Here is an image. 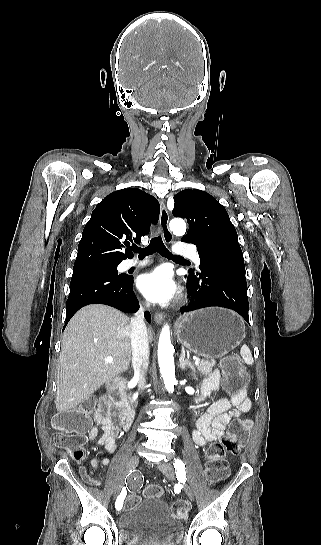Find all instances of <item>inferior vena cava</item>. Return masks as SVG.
<instances>
[{"instance_id":"obj_1","label":"inferior vena cava","mask_w":321,"mask_h":545,"mask_svg":"<svg viewBox=\"0 0 321 545\" xmlns=\"http://www.w3.org/2000/svg\"><path fill=\"white\" fill-rule=\"evenodd\" d=\"M149 307V303H147ZM131 333V351L132 363L135 375H138L139 391H144L146 387V373L149 365V343L147 337V327L144 323L143 313L139 311L130 321Z\"/></svg>"}]
</instances>
